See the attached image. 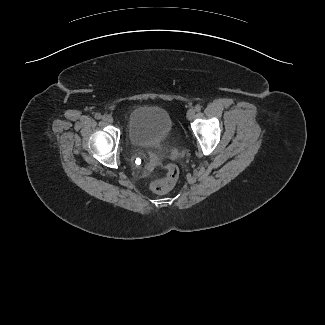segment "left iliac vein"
<instances>
[{"mask_svg":"<svg viewBox=\"0 0 325 325\" xmlns=\"http://www.w3.org/2000/svg\"><path fill=\"white\" fill-rule=\"evenodd\" d=\"M195 114H196L195 109H193V108L189 109V110L187 111V119H188L189 121L193 120L194 117H195Z\"/></svg>","mask_w":325,"mask_h":325,"instance_id":"4c4485c4","label":"left iliac vein"}]
</instances>
